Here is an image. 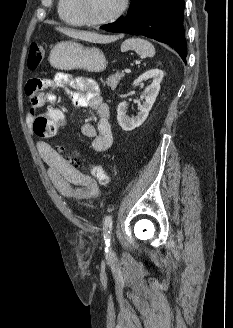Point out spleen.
I'll list each match as a JSON object with an SVG mask.
<instances>
[{
    "mask_svg": "<svg viewBox=\"0 0 233 328\" xmlns=\"http://www.w3.org/2000/svg\"><path fill=\"white\" fill-rule=\"evenodd\" d=\"M135 51L141 58L153 57L155 55L154 46L147 40L141 38L126 39L121 45V51Z\"/></svg>",
    "mask_w": 233,
    "mask_h": 328,
    "instance_id": "obj_1",
    "label": "spleen"
}]
</instances>
